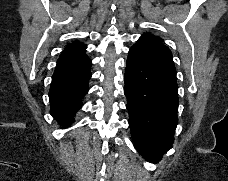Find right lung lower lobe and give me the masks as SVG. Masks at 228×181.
Segmentation results:
<instances>
[{
	"instance_id": "1",
	"label": "right lung lower lobe",
	"mask_w": 228,
	"mask_h": 181,
	"mask_svg": "<svg viewBox=\"0 0 228 181\" xmlns=\"http://www.w3.org/2000/svg\"><path fill=\"white\" fill-rule=\"evenodd\" d=\"M86 46L61 55L49 90L50 113L60 125H70L88 92L91 78V60L85 54Z\"/></svg>"
}]
</instances>
